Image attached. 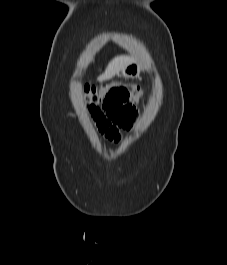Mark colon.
<instances>
[{"label":"colon","mask_w":227,"mask_h":265,"mask_svg":"<svg viewBox=\"0 0 227 265\" xmlns=\"http://www.w3.org/2000/svg\"><path fill=\"white\" fill-rule=\"evenodd\" d=\"M143 92L142 88L123 82L86 85L83 88L86 102H99L105 116L119 129L129 128L133 123L136 116L135 104Z\"/></svg>","instance_id":"5ec220e1"}]
</instances>
